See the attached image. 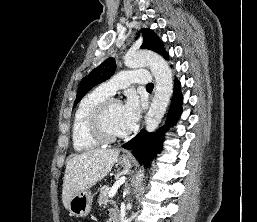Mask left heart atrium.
<instances>
[{"label":"left heart atrium","mask_w":257,"mask_h":222,"mask_svg":"<svg viewBox=\"0 0 257 222\" xmlns=\"http://www.w3.org/2000/svg\"><path fill=\"white\" fill-rule=\"evenodd\" d=\"M141 116V104L135 95H130L121 106V131L128 134L133 131Z\"/></svg>","instance_id":"left-heart-atrium-1"}]
</instances>
